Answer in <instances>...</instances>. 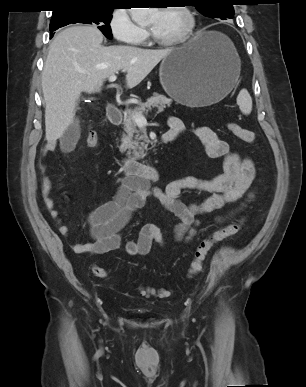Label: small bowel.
<instances>
[{
    "label": "small bowel",
    "mask_w": 306,
    "mask_h": 387,
    "mask_svg": "<svg viewBox=\"0 0 306 387\" xmlns=\"http://www.w3.org/2000/svg\"><path fill=\"white\" fill-rule=\"evenodd\" d=\"M168 126L167 133L175 135L176 138L185 131L182 120L174 116L168 119ZM193 133L201 141L210 158L223 159V170L220 174L209 179L185 176L170 181L163 188L152 187L145 180L124 179L111 201L88 213L86 221L91 241L74 244L73 252L98 255L119 249L122 245L123 228L149 197L157 199L167 211L178 218L174 237L179 242L190 241L195 236L200 223L199 215L219 210L244 198H252L251 189L256 176L253 161L232 151L229 144L207 126L196 127ZM78 138V125L73 123L60 139L61 152H72ZM55 150L56 143L47 141L41 153L46 155ZM41 190L45 206L55 220L58 231L66 234L68 227L61 222L55 209L51 196L52 183L48 176H44ZM189 191L206 193L208 196L200 203H186L181 199V195ZM153 244L164 247L165 239L160 228L149 223L142 226L136 239L125 243L124 250L129 256H145L150 253Z\"/></svg>",
    "instance_id": "obj_1"
}]
</instances>
